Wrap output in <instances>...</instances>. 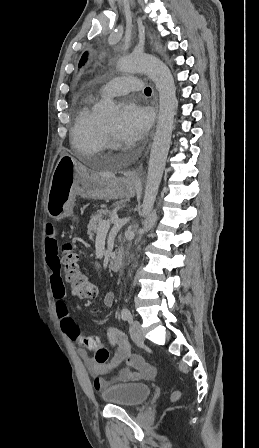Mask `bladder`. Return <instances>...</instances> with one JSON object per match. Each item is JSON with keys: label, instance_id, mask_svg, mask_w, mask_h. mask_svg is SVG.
<instances>
[{"label": "bladder", "instance_id": "1", "mask_svg": "<svg viewBox=\"0 0 259 448\" xmlns=\"http://www.w3.org/2000/svg\"><path fill=\"white\" fill-rule=\"evenodd\" d=\"M152 388L147 383H122L107 387L101 393L103 401L124 407H134L143 403Z\"/></svg>", "mask_w": 259, "mask_h": 448}]
</instances>
